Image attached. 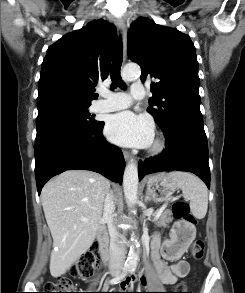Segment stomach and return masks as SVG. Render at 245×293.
Masks as SVG:
<instances>
[{"instance_id": "obj_1", "label": "stomach", "mask_w": 245, "mask_h": 293, "mask_svg": "<svg viewBox=\"0 0 245 293\" xmlns=\"http://www.w3.org/2000/svg\"><path fill=\"white\" fill-rule=\"evenodd\" d=\"M176 186L170 181L167 174L159 173L149 176L147 179V193L155 202H163L171 198L176 191ZM182 232H190L185 245H188L195 237V229L192 226H181Z\"/></svg>"}]
</instances>
